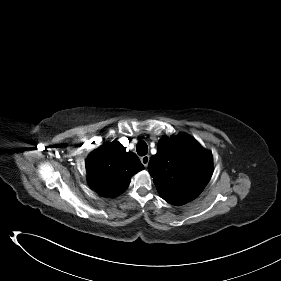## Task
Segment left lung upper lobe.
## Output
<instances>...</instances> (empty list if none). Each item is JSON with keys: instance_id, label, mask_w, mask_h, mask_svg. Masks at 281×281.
<instances>
[{"instance_id": "left-lung-upper-lobe-1", "label": "left lung upper lobe", "mask_w": 281, "mask_h": 281, "mask_svg": "<svg viewBox=\"0 0 281 281\" xmlns=\"http://www.w3.org/2000/svg\"><path fill=\"white\" fill-rule=\"evenodd\" d=\"M213 168L211 152L191 136H163L148 170L160 196L172 205L195 199L208 184Z\"/></svg>"}]
</instances>
